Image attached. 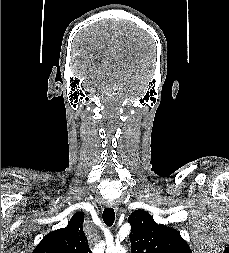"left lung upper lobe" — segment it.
Returning <instances> with one entry per match:
<instances>
[{"instance_id": "obj_1", "label": "left lung upper lobe", "mask_w": 229, "mask_h": 253, "mask_svg": "<svg viewBox=\"0 0 229 253\" xmlns=\"http://www.w3.org/2000/svg\"><path fill=\"white\" fill-rule=\"evenodd\" d=\"M131 253H192L178 231L158 225L146 211L129 215Z\"/></svg>"}]
</instances>
